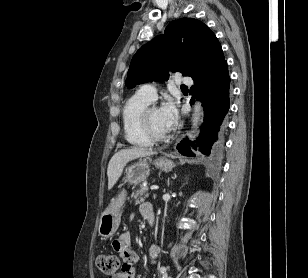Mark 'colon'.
<instances>
[{"mask_svg":"<svg viewBox=\"0 0 308 278\" xmlns=\"http://www.w3.org/2000/svg\"><path fill=\"white\" fill-rule=\"evenodd\" d=\"M98 269L105 275L112 276L117 273L120 267V259L112 253L100 254L96 259Z\"/></svg>","mask_w":308,"mask_h":278,"instance_id":"5ec220e1","label":"colon"}]
</instances>
